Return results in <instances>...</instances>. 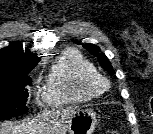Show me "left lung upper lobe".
Segmentation results:
<instances>
[{
  "label": "left lung upper lobe",
  "instance_id": "1",
  "mask_svg": "<svg viewBox=\"0 0 153 134\" xmlns=\"http://www.w3.org/2000/svg\"><path fill=\"white\" fill-rule=\"evenodd\" d=\"M76 44H79L77 41H74ZM83 47L85 49H87L92 55H95V56H98V60H99V63L109 72V73H113V69H112V66L111 64L109 63V60L108 58L105 56L104 53H99L100 52V49L93 45V44H90V43H87V44H83Z\"/></svg>",
  "mask_w": 153,
  "mask_h": 134
}]
</instances>
